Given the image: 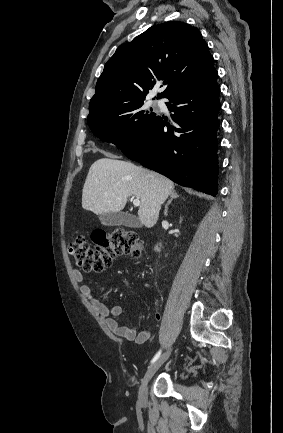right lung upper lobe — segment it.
<instances>
[{
	"label": "right lung upper lobe",
	"instance_id": "obj_1",
	"mask_svg": "<svg viewBox=\"0 0 283 433\" xmlns=\"http://www.w3.org/2000/svg\"><path fill=\"white\" fill-rule=\"evenodd\" d=\"M213 63L208 45L194 27L179 21L154 25L120 45L107 61L89 115L145 100L159 80L168 86L157 99L200 85L218 74Z\"/></svg>",
	"mask_w": 283,
	"mask_h": 433
}]
</instances>
